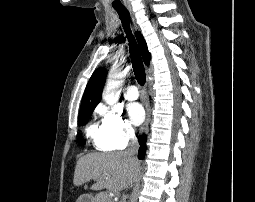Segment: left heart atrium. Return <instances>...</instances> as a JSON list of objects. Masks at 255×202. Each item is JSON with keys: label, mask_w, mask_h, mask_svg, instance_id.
I'll return each mask as SVG.
<instances>
[{"label": "left heart atrium", "mask_w": 255, "mask_h": 202, "mask_svg": "<svg viewBox=\"0 0 255 202\" xmlns=\"http://www.w3.org/2000/svg\"><path fill=\"white\" fill-rule=\"evenodd\" d=\"M127 113L135 125L140 124L145 118V110L139 103H130L127 106Z\"/></svg>", "instance_id": "obj_1"}]
</instances>
